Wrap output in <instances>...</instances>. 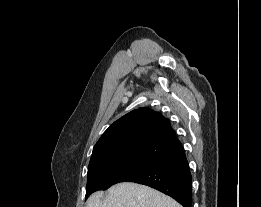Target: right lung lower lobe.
<instances>
[{"instance_id": "98d812e1", "label": "right lung lower lobe", "mask_w": 261, "mask_h": 207, "mask_svg": "<svg viewBox=\"0 0 261 207\" xmlns=\"http://www.w3.org/2000/svg\"><path fill=\"white\" fill-rule=\"evenodd\" d=\"M125 181L150 186L169 195L183 207H191L192 177L184 150L130 176Z\"/></svg>"}]
</instances>
